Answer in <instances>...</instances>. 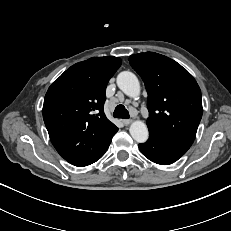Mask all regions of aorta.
I'll return each instance as SVG.
<instances>
[{
	"mask_svg": "<svg viewBox=\"0 0 231 231\" xmlns=\"http://www.w3.org/2000/svg\"><path fill=\"white\" fill-rule=\"evenodd\" d=\"M117 85L126 95L136 97L140 92V83L136 75L129 71H123L117 76ZM130 135L138 143L147 141L149 132L147 125L140 120L132 122L129 128Z\"/></svg>",
	"mask_w": 231,
	"mask_h": 231,
	"instance_id": "1",
	"label": "aorta"
}]
</instances>
